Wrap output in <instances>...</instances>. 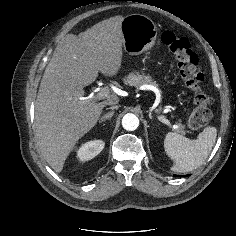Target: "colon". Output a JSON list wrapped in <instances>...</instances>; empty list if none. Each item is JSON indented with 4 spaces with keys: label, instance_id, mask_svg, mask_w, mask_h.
Returning a JSON list of instances; mask_svg holds the SVG:
<instances>
[{
    "label": "colon",
    "instance_id": "5ec220e1",
    "mask_svg": "<svg viewBox=\"0 0 236 236\" xmlns=\"http://www.w3.org/2000/svg\"><path fill=\"white\" fill-rule=\"evenodd\" d=\"M161 40L174 55L180 76L194 96V108L188 120L189 128L197 130L211 118L212 98L204 85V76L198 69V57L192 51L186 38L171 31H165Z\"/></svg>",
    "mask_w": 236,
    "mask_h": 236
}]
</instances>
